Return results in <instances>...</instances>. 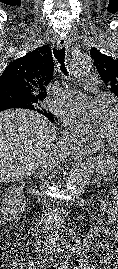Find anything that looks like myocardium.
Segmentation results:
<instances>
[{
  "label": "myocardium",
  "instance_id": "myocardium-1",
  "mask_svg": "<svg viewBox=\"0 0 118 269\" xmlns=\"http://www.w3.org/2000/svg\"><path fill=\"white\" fill-rule=\"evenodd\" d=\"M111 112H118V104L114 105L111 109ZM108 147L114 149L115 151H118V143L107 141L105 143ZM104 144H98L97 147L102 146Z\"/></svg>",
  "mask_w": 118,
  "mask_h": 269
}]
</instances>
